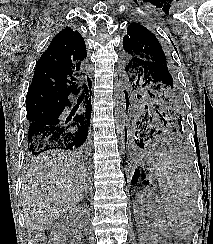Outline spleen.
Masks as SVG:
<instances>
[{"instance_id": "3e777b00", "label": "spleen", "mask_w": 213, "mask_h": 244, "mask_svg": "<svg viewBox=\"0 0 213 244\" xmlns=\"http://www.w3.org/2000/svg\"><path fill=\"white\" fill-rule=\"evenodd\" d=\"M158 179L162 203L171 231L180 239L188 240L198 213V181L192 170L175 153L161 151L147 162Z\"/></svg>"}]
</instances>
